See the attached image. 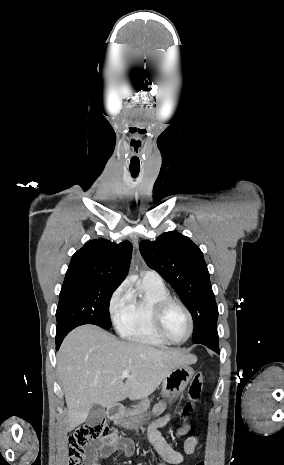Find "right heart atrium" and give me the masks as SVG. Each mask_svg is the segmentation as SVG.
<instances>
[{
  "label": "right heart atrium",
  "instance_id": "right-heart-atrium-1",
  "mask_svg": "<svg viewBox=\"0 0 284 465\" xmlns=\"http://www.w3.org/2000/svg\"><path fill=\"white\" fill-rule=\"evenodd\" d=\"M133 298L126 282L121 283L110 295L107 309L110 317L115 320L121 311L129 305Z\"/></svg>",
  "mask_w": 284,
  "mask_h": 465
}]
</instances>
